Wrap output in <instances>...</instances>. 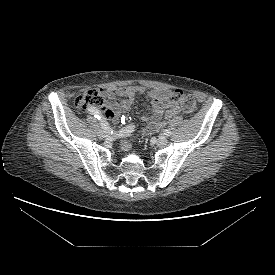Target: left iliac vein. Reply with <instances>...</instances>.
<instances>
[{
  "label": "left iliac vein",
  "mask_w": 275,
  "mask_h": 275,
  "mask_svg": "<svg viewBox=\"0 0 275 275\" xmlns=\"http://www.w3.org/2000/svg\"><path fill=\"white\" fill-rule=\"evenodd\" d=\"M168 143L167 139L163 136L159 137L156 139V144L159 146V147H164L166 146Z\"/></svg>",
  "instance_id": "obj_1"
}]
</instances>
